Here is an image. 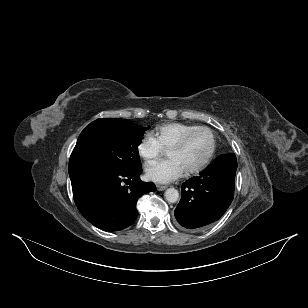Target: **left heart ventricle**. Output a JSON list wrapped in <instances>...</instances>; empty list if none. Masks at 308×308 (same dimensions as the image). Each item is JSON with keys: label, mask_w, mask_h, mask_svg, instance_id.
<instances>
[{"label": "left heart ventricle", "mask_w": 308, "mask_h": 308, "mask_svg": "<svg viewBox=\"0 0 308 308\" xmlns=\"http://www.w3.org/2000/svg\"><path fill=\"white\" fill-rule=\"evenodd\" d=\"M212 147V137L207 131L194 134L186 145L178 150H167L169 158L177 159L185 171L202 163Z\"/></svg>", "instance_id": "left-heart-ventricle-1"}]
</instances>
